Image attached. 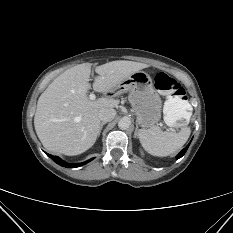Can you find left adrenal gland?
I'll list each match as a JSON object with an SVG mask.
<instances>
[{
	"instance_id": "obj_1",
	"label": "left adrenal gland",
	"mask_w": 233,
	"mask_h": 233,
	"mask_svg": "<svg viewBox=\"0 0 233 233\" xmlns=\"http://www.w3.org/2000/svg\"><path fill=\"white\" fill-rule=\"evenodd\" d=\"M137 132H138V125H136L135 133H134V138H137Z\"/></svg>"
}]
</instances>
